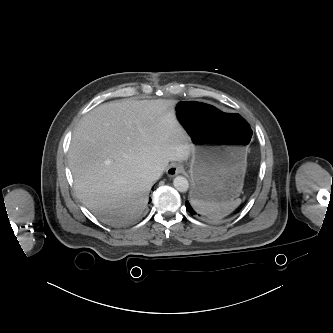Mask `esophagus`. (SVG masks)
Masks as SVG:
<instances>
[{
    "label": "esophagus",
    "instance_id": "34e87169",
    "mask_svg": "<svg viewBox=\"0 0 333 333\" xmlns=\"http://www.w3.org/2000/svg\"><path fill=\"white\" fill-rule=\"evenodd\" d=\"M183 166L182 165H180V164H178V163H172L169 167H168V169H167V174H168V176H170V177H173V176H175V175H177V174H179V173H182L183 172Z\"/></svg>",
    "mask_w": 333,
    "mask_h": 333
}]
</instances>
